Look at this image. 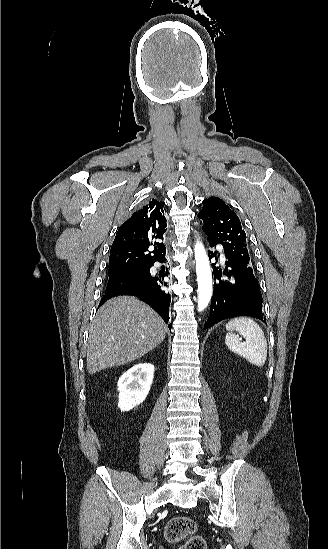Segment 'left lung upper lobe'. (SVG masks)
<instances>
[{"label":"left lung upper lobe","mask_w":328,"mask_h":549,"mask_svg":"<svg viewBox=\"0 0 328 549\" xmlns=\"http://www.w3.org/2000/svg\"><path fill=\"white\" fill-rule=\"evenodd\" d=\"M202 204L197 216L203 220V230L210 245H223L226 257L253 271L246 248V234L234 211L217 197H210Z\"/></svg>","instance_id":"5c2ea615"}]
</instances>
